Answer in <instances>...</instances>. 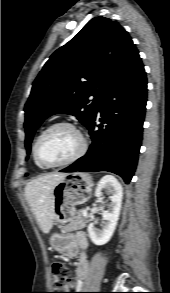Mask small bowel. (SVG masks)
Wrapping results in <instances>:
<instances>
[{
    "mask_svg": "<svg viewBox=\"0 0 170 293\" xmlns=\"http://www.w3.org/2000/svg\"><path fill=\"white\" fill-rule=\"evenodd\" d=\"M67 245L65 251L69 256H77L75 285L79 286L82 278L89 273V263L87 260L88 242L83 233H70L66 237Z\"/></svg>",
    "mask_w": 170,
    "mask_h": 293,
    "instance_id": "obj_1",
    "label": "small bowel"
}]
</instances>
